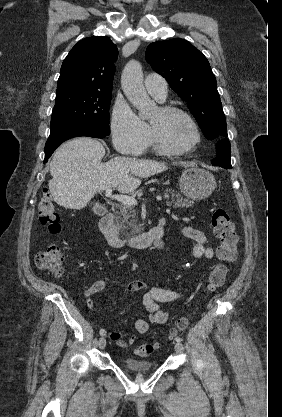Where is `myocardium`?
<instances>
[{
	"instance_id": "obj_1",
	"label": "myocardium",
	"mask_w": 282,
	"mask_h": 417,
	"mask_svg": "<svg viewBox=\"0 0 282 417\" xmlns=\"http://www.w3.org/2000/svg\"><path fill=\"white\" fill-rule=\"evenodd\" d=\"M159 110L164 115H168V116L177 115L183 118L188 124V126L190 127L192 134H193V139L190 143L183 145V146H171L162 139V137L155 130V128L149 123V130H150L151 136L153 138L154 143L159 149L167 153H184V152H188V151L195 149L199 145V143L201 142L199 129L196 123L194 122V120L192 119V117L188 113H186L185 111L181 109L170 107V106L160 107Z\"/></svg>"
}]
</instances>
